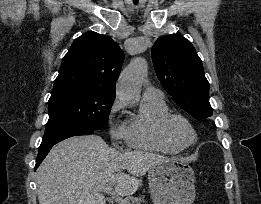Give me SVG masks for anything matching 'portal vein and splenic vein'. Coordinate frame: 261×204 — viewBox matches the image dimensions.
<instances>
[{
    "label": "portal vein and splenic vein",
    "instance_id": "portal-vein-and-splenic-vein-1",
    "mask_svg": "<svg viewBox=\"0 0 261 204\" xmlns=\"http://www.w3.org/2000/svg\"><path fill=\"white\" fill-rule=\"evenodd\" d=\"M94 189L106 192L107 194L111 195L112 198H114L115 201L118 202L119 204H131L129 201L121 198L119 196V194H116L114 189H113V187L111 185H108V184L97 185Z\"/></svg>",
    "mask_w": 261,
    "mask_h": 204
}]
</instances>
